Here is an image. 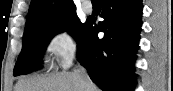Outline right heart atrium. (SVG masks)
I'll return each instance as SVG.
<instances>
[{
    "label": "right heart atrium",
    "instance_id": "obj_1",
    "mask_svg": "<svg viewBox=\"0 0 173 91\" xmlns=\"http://www.w3.org/2000/svg\"><path fill=\"white\" fill-rule=\"evenodd\" d=\"M79 48L77 36L69 29H62L54 33L47 42L49 53L62 68H68L75 58Z\"/></svg>",
    "mask_w": 173,
    "mask_h": 91
}]
</instances>
